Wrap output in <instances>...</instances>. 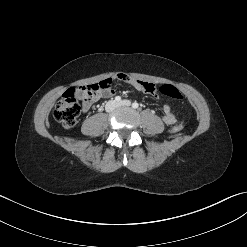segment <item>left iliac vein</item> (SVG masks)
<instances>
[{
	"label": "left iliac vein",
	"mask_w": 247,
	"mask_h": 247,
	"mask_svg": "<svg viewBox=\"0 0 247 247\" xmlns=\"http://www.w3.org/2000/svg\"><path fill=\"white\" fill-rule=\"evenodd\" d=\"M131 102L129 100H123L117 104V106H130Z\"/></svg>",
	"instance_id": "4c4485c4"
}]
</instances>
